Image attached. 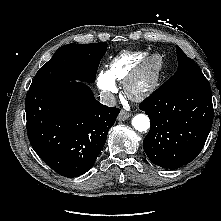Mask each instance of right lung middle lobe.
Wrapping results in <instances>:
<instances>
[{
  "instance_id": "obj_1",
  "label": "right lung middle lobe",
  "mask_w": 221,
  "mask_h": 221,
  "mask_svg": "<svg viewBox=\"0 0 221 221\" xmlns=\"http://www.w3.org/2000/svg\"><path fill=\"white\" fill-rule=\"evenodd\" d=\"M106 49V42L60 47L36 73L29 90L66 81L94 82Z\"/></svg>"
}]
</instances>
